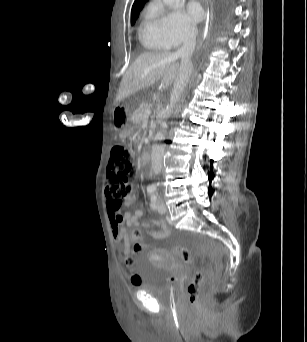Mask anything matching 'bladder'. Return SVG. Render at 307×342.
<instances>
[{"label":"bladder","instance_id":"bladder-1","mask_svg":"<svg viewBox=\"0 0 307 342\" xmlns=\"http://www.w3.org/2000/svg\"><path fill=\"white\" fill-rule=\"evenodd\" d=\"M138 288L157 298L167 299L170 297L172 290L176 288V279L168 268L151 265L141 275Z\"/></svg>","mask_w":307,"mask_h":342}]
</instances>
